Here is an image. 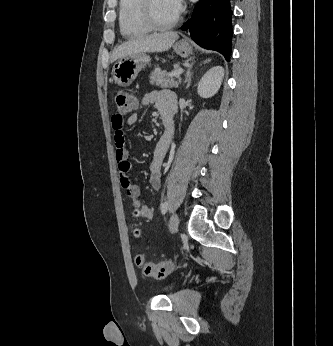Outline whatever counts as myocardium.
Wrapping results in <instances>:
<instances>
[{
    "instance_id": "f54148a6",
    "label": "myocardium",
    "mask_w": 333,
    "mask_h": 346,
    "mask_svg": "<svg viewBox=\"0 0 333 346\" xmlns=\"http://www.w3.org/2000/svg\"><path fill=\"white\" fill-rule=\"evenodd\" d=\"M153 0H141L142 14L147 25L154 30H166L179 21L180 13L177 12L169 21L160 22L153 14Z\"/></svg>"
}]
</instances>
